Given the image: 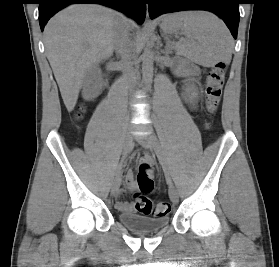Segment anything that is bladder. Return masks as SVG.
I'll return each instance as SVG.
<instances>
[{
  "label": "bladder",
  "instance_id": "bladder-1",
  "mask_svg": "<svg viewBox=\"0 0 279 267\" xmlns=\"http://www.w3.org/2000/svg\"><path fill=\"white\" fill-rule=\"evenodd\" d=\"M119 221L128 229L137 232H154L164 228L169 218L164 216L149 217L135 212H122L118 215Z\"/></svg>",
  "mask_w": 279,
  "mask_h": 267
}]
</instances>
